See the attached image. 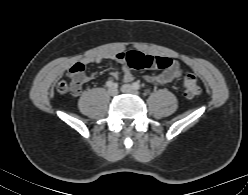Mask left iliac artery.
<instances>
[{
  "mask_svg": "<svg viewBox=\"0 0 248 195\" xmlns=\"http://www.w3.org/2000/svg\"><path fill=\"white\" fill-rule=\"evenodd\" d=\"M133 87H134L135 89H140V84H139L138 82H134V83H133Z\"/></svg>",
  "mask_w": 248,
  "mask_h": 195,
  "instance_id": "obj_1",
  "label": "left iliac artery"
}]
</instances>
